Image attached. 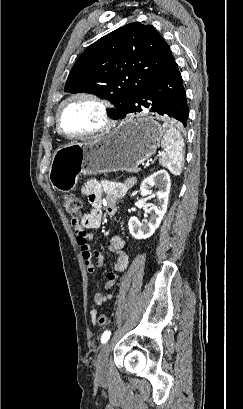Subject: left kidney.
Here are the masks:
<instances>
[{
  "label": "left kidney",
  "instance_id": "obj_1",
  "mask_svg": "<svg viewBox=\"0 0 243 409\" xmlns=\"http://www.w3.org/2000/svg\"><path fill=\"white\" fill-rule=\"evenodd\" d=\"M152 186L158 187L159 190L152 193L149 190ZM170 187V176L165 170H159L143 180L140 186L141 195L155 196L157 200L156 205H150L147 211L150 216L145 223H141L135 216L129 219V232L135 239L149 238L159 227L167 210Z\"/></svg>",
  "mask_w": 243,
  "mask_h": 409
}]
</instances>
